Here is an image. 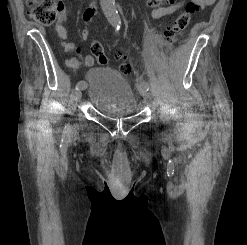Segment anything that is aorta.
I'll return each mask as SVG.
<instances>
[{"label": "aorta", "instance_id": "1", "mask_svg": "<svg viewBox=\"0 0 247 245\" xmlns=\"http://www.w3.org/2000/svg\"><path fill=\"white\" fill-rule=\"evenodd\" d=\"M106 18L113 25H120L121 18L116 8L115 0H102Z\"/></svg>", "mask_w": 247, "mask_h": 245}]
</instances>
